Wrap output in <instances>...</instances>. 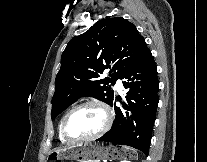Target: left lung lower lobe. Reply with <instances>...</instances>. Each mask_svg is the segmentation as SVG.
Instances as JSON below:
<instances>
[{
    "instance_id": "left-lung-lower-lobe-1",
    "label": "left lung lower lobe",
    "mask_w": 207,
    "mask_h": 162,
    "mask_svg": "<svg viewBox=\"0 0 207 162\" xmlns=\"http://www.w3.org/2000/svg\"><path fill=\"white\" fill-rule=\"evenodd\" d=\"M123 85L128 89L123 107L114 106L116 118L110 131L96 141L113 142L134 147L148 156L152 128L158 106L159 81L157 67L150 50L124 74Z\"/></svg>"
}]
</instances>
